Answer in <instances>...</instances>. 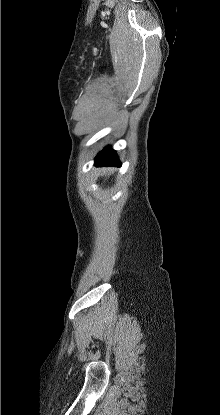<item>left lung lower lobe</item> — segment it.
<instances>
[{
	"label": "left lung lower lobe",
	"instance_id": "obj_1",
	"mask_svg": "<svg viewBox=\"0 0 220 415\" xmlns=\"http://www.w3.org/2000/svg\"><path fill=\"white\" fill-rule=\"evenodd\" d=\"M95 165L97 166H120L115 151L111 147L102 150L95 158Z\"/></svg>",
	"mask_w": 220,
	"mask_h": 415
}]
</instances>
